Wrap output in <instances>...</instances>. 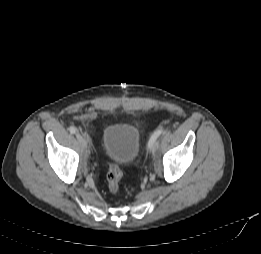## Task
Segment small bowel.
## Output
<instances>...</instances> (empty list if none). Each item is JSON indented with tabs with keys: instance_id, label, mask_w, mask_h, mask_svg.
I'll return each instance as SVG.
<instances>
[{
	"instance_id": "obj_1",
	"label": "small bowel",
	"mask_w": 261,
	"mask_h": 254,
	"mask_svg": "<svg viewBox=\"0 0 261 254\" xmlns=\"http://www.w3.org/2000/svg\"><path fill=\"white\" fill-rule=\"evenodd\" d=\"M97 119V114L94 111H89L80 117L84 122H94Z\"/></svg>"
}]
</instances>
